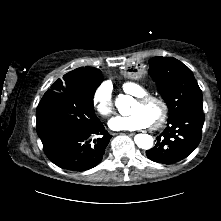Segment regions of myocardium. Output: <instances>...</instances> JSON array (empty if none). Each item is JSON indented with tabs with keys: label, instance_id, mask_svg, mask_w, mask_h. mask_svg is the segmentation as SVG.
Segmentation results:
<instances>
[{
	"label": "myocardium",
	"instance_id": "myocardium-1",
	"mask_svg": "<svg viewBox=\"0 0 221 221\" xmlns=\"http://www.w3.org/2000/svg\"><path fill=\"white\" fill-rule=\"evenodd\" d=\"M137 103L140 104H147L150 102H156L161 106V115L159 117V119L154 122L153 124L150 125L151 129H158L160 127H162L164 125V123L166 122L167 118H168V114H169V107L168 104L166 103V101L159 97V96H154V95H145L142 97H138L136 99Z\"/></svg>",
	"mask_w": 221,
	"mask_h": 221
}]
</instances>
